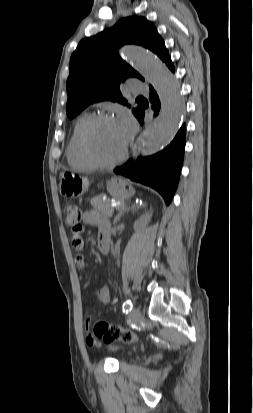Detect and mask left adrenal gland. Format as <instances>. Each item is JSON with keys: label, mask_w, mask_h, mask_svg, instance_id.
Segmentation results:
<instances>
[{"label": "left adrenal gland", "mask_w": 253, "mask_h": 413, "mask_svg": "<svg viewBox=\"0 0 253 413\" xmlns=\"http://www.w3.org/2000/svg\"><path fill=\"white\" fill-rule=\"evenodd\" d=\"M135 209V206H132L131 208H126V209H122L119 213H118V215L115 217V219H114V224H116L119 220H120V218L126 213V212H129L130 210H134Z\"/></svg>", "instance_id": "left-adrenal-gland-1"}]
</instances>
